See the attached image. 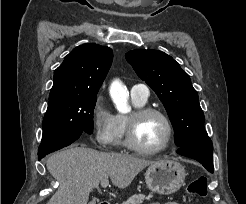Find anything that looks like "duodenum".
Listing matches in <instances>:
<instances>
[{
    "label": "duodenum",
    "mask_w": 246,
    "mask_h": 204,
    "mask_svg": "<svg viewBox=\"0 0 246 204\" xmlns=\"http://www.w3.org/2000/svg\"><path fill=\"white\" fill-rule=\"evenodd\" d=\"M99 204H110L109 202H101Z\"/></svg>",
    "instance_id": "obj_1"
}]
</instances>
